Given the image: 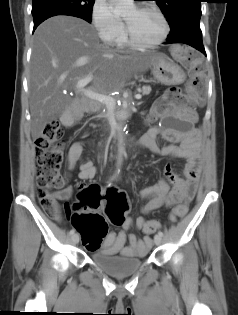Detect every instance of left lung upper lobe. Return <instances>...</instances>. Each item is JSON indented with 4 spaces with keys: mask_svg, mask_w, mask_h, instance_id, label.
<instances>
[{
    "mask_svg": "<svg viewBox=\"0 0 238 315\" xmlns=\"http://www.w3.org/2000/svg\"><path fill=\"white\" fill-rule=\"evenodd\" d=\"M158 3L163 14L168 18L173 34L184 24L190 21H200L201 18V0H154Z\"/></svg>",
    "mask_w": 238,
    "mask_h": 315,
    "instance_id": "5c2ea615",
    "label": "left lung upper lobe"
}]
</instances>
